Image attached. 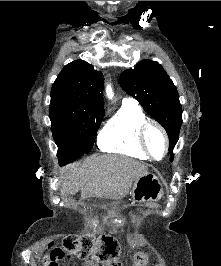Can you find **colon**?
Here are the masks:
<instances>
[{"mask_svg":"<svg viewBox=\"0 0 221 266\" xmlns=\"http://www.w3.org/2000/svg\"><path fill=\"white\" fill-rule=\"evenodd\" d=\"M62 246H66V251L51 252H71V257H77L83 261H98L100 266H122L118 261L119 245L110 236L98 238L91 236L78 237L75 235L67 236ZM51 253L45 257V266L50 262ZM71 257H61L69 259ZM147 256L143 252H138L133 257V266H146Z\"/></svg>","mask_w":221,"mask_h":266,"instance_id":"colon-1","label":"colon"}]
</instances>
